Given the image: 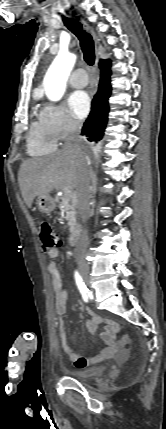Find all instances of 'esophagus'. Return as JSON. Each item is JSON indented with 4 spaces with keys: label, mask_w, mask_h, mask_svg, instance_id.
<instances>
[{
    "label": "esophagus",
    "mask_w": 166,
    "mask_h": 429,
    "mask_svg": "<svg viewBox=\"0 0 166 429\" xmlns=\"http://www.w3.org/2000/svg\"><path fill=\"white\" fill-rule=\"evenodd\" d=\"M84 24L86 25L87 29L90 30L92 36L94 37L96 43L98 42V37L96 36L95 32L84 22ZM97 56H98V52H97Z\"/></svg>",
    "instance_id": "esophagus-1"
}]
</instances>
